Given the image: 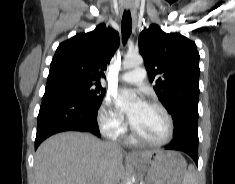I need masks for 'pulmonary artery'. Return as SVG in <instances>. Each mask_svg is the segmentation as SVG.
<instances>
[{
  "mask_svg": "<svg viewBox=\"0 0 235 184\" xmlns=\"http://www.w3.org/2000/svg\"><path fill=\"white\" fill-rule=\"evenodd\" d=\"M147 76L146 70L142 68L125 72L119 76V80L127 84L136 85L144 81Z\"/></svg>",
  "mask_w": 235,
  "mask_h": 184,
  "instance_id": "1",
  "label": "pulmonary artery"
}]
</instances>
